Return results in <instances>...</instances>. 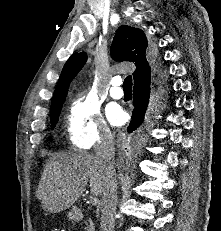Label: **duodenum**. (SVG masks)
Here are the masks:
<instances>
[{"label":"duodenum","instance_id":"duodenum-1","mask_svg":"<svg viewBox=\"0 0 221 231\" xmlns=\"http://www.w3.org/2000/svg\"><path fill=\"white\" fill-rule=\"evenodd\" d=\"M74 218H75V221H82L84 220V215L80 210H75Z\"/></svg>","mask_w":221,"mask_h":231}]
</instances>
